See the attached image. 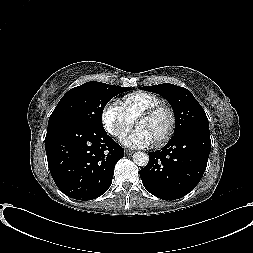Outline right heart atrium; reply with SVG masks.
<instances>
[{
  "label": "right heart atrium",
  "instance_id": "obj_1",
  "mask_svg": "<svg viewBox=\"0 0 253 253\" xmlns=\"http://www.w3.org/2000/svg\"><path fill=\"white\" fill-rule=\"evenodd\" d=\"M101 121L106 131L117 139L125 137L134 124L122 104L116 100L104 106Z\"/></svg>",
  "mask_w": 253,
  "mask_h": 253
}]
</instances>
